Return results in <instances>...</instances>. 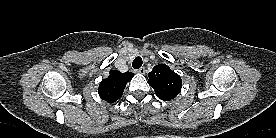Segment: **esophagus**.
Instances as JSON below:
<instances>
[{
    "label": "esophagus",
    "mask_w": 276,
    "mask_h": 138,
    "mask_svg": "<svg viewBox=\"0 0 276 138\" xmlns=\"http://www.w3.org/2000/svg\"><path fill=\"white\" fill-rule=\"evenodd\" d=\"M138 73L140 74H145V67H141L137 70Z\"/></svg>",
    "instance_id": "esophagus-1"
}]
</instances>
